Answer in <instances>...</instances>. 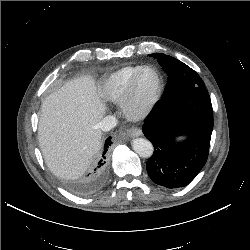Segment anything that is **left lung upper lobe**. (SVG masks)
<instances>
[{
	"mask_svg": "<svg viewBox=\"0 0 250 250\" xmlns=\"http://www.w3.org/2000/svg\"><path fill=\"white\" fill-rule=\"evenodd\" d=\"M151 56L158 60L168 76L162 99L204 87V82L199 75L183 62L162 53H154Z\"/></svg>",
	"mask_w": 250,
	"mask_h": 250,
	"instance_id": "5c2ea615",
	"label": "left lung upper lobe"
}]
</instances>
